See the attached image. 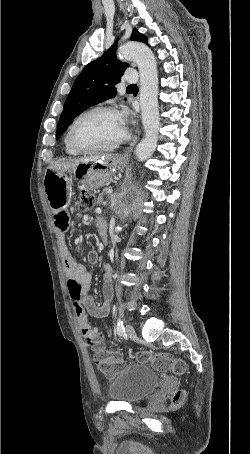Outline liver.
<instances>
[{
  "instance_id": "liver-1",
  "label": "liver",
  "mask_w": 250,
  "mask_h": 454,
  "mask_svg": "<svg viewBox=\"0 0 250 454\" xmlns=\"http://www.w3.org/2000/svg\"><path fill=\"white\" fill-rule=\"evenodd\" d=\"M109 156H111V155H105L103 157H109ZM97 159H99L98 156L83 157V158L74 159L72 161V163H67V165L68 166H75L78 163H87V162L95 161Z\"/></svg>"
}]
</instances>
